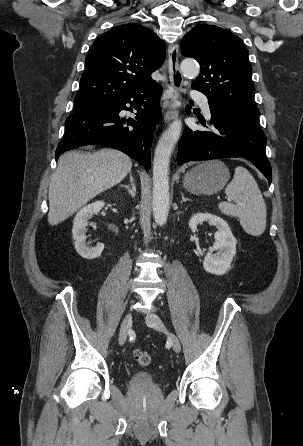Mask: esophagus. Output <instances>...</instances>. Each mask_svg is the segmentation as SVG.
<instances>
[{
    "mask_svg": "<svg viewBox=\"0 0 303 446\" xmlns=\"http://www.w3.org/2000/svg\"><path fill=\"white\" fill-rule=\"evenodd\" d=\"M179 46L177 43H173L169 46L168 59L170 65V75L173 84V88L167 90L168 95V108L164 114L165 122H170L175 119L179 114V106L181 102L180 90L182 88L183 76L179 68Z\"/></svg>",
    "mask_w": 303,
    "mask_h": 446,
    "instance_id": "obj_1",
    "label": "esophagus"
}]
</instances>
